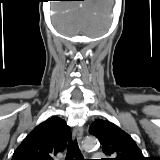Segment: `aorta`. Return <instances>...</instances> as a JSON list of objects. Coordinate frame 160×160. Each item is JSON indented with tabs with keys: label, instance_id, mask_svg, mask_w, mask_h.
Returning <instances> with one entry per match:
<instances>
[{
	"label": "aorta",
	"instance_id": "762f6f07",
	"mask_svg": "<svg viewBox=\"0 0 160 160\" xmlns=\"http://www.w3.org/2000/svg\"><path fill=\"white\" fill-rule=\"evenodd\" d=\"M97 145H98V141L93 137H88L83 142V147L85 149H93L97 147Z\"/></svg>",
	"mask_w": 160,
	"mask_h": 160
}]
</instances>
